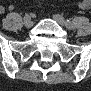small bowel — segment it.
<instances>
[{"label":"small bowel","mask_w":91,"mask_h":91,"mask_svg":"<svg viewBox=\"0 0 91 91\" xmlns=\"http://www.w3.org/2000/svg\"><path fill=\"white\" fill-rule=\"evenodd\" d=\"M79 7L81 9H89L91 7V2L89 0H83L80 2Z\"/></svg>","instance_id":"small-bowel-1"}]
</instances>
